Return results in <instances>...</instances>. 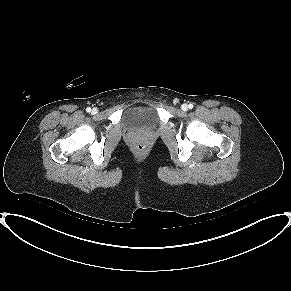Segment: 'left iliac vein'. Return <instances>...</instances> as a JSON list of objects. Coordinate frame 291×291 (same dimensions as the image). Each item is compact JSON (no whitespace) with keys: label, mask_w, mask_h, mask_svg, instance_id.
Here are the masks:
<instances>
[{"label":"left iliac vein","mask_w":291,"mask_h":291,"mask_svg":"<svg viewBox=\"0 0 291 291\" xmlns=\"http://www.w3.org/2000/svg\"><path fill=\"white\" fill-rule=\"evenodd\" d=\"M188 106L186 104L182 105V110H187Z\"/></svg>","instance_id":"4c4485c4"}]
</instances>
